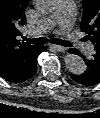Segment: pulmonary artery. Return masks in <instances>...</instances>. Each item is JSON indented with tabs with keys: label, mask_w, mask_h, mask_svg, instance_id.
I'll return each instance as SVG.
<instances>
[{
	"label": "pulmonary artery",
	"mask_w": 100,
	"mask_h": 118,
	"mask_svg": "<svg viewBox=\"0 0 100 118\" xmlns=\"http://www.w3.org/2000/svg\"><path fill=\"white\" fill-rule=\"evenodd\" d=\"M75 14V4L73 0H62L59 4L57 11L50 17L41 20L35 27L34 32L41 34L48 32L56 23L60 24L62 28V35L69 41L75 42L76 38L70 31L73 18ZM85 53L90 55L92 53V47L90 45L85 46Z\"/></svg>",
	"instance_id": "obj_1"
}]
</instances>
